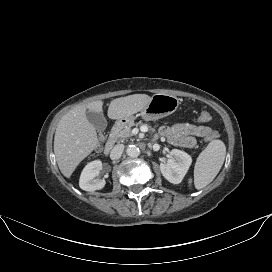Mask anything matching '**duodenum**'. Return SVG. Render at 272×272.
Returning a JSON list of instances; mask_svg holds the SVG:
<instances>
[{"label": "duodenum", "instance_id": "1", "mask_svg": "<svg viewBox=\"0 0 272 272\" xmlns=\"http://www.w3.org/2000/svg\"><path fill=\"white\" fill-rule=\"evenodd\" d=\"M123 127V121L118 120L115 122L111 134L109 135V138L104 146L103 152L104 154H109L110 151L112 150V148L114 147L116 140H117V135L119 133V131L122 129Z\"/></svg>", "mask_w": 272, "mask_h": 272}]
</instances>
